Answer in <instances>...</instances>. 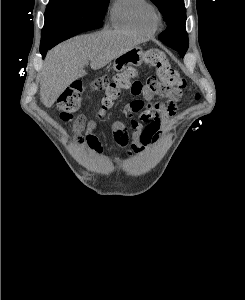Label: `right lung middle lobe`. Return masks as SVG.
<instances>
[{
    "mask_svg": "<svg viewBox=\"0 0 245 300\" xmlns=\"http://www.w3.org/2000/svg\"><path fill=\"white\" fill-rule=\"evenodd\" d=\"M108 4L109 0H49L40 47H53L83 32L89 22H102Z\"/></svg>",
    "mask_w": 245,
    "mask_h": 300,
    "instance_id": "right-lung-middle-lobe-1",
    "label": "right lung middle lobe"
}]
</instances>
